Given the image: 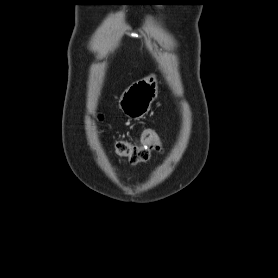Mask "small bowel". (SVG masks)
I'll return each mask as SVG.
<instances>
[{
	"label": "small bowel",
	"instance_id": "1",
	"mask_svg": "<svg viewBox=\"0 0 278 278\" xmlns=\"http://www.w3.org/2000/svg\"><path fill=\"white\" fill-rule=\"evenodd\" d=\"M144 143L140 146H143ZM160 150V146L159 144H152V145H149V151H159ZM146 161V160H145ZM144 162V161H143Z\"/></svg>",
	"mask_w": 278,
	"mask_h": 278
}]
</instances>
